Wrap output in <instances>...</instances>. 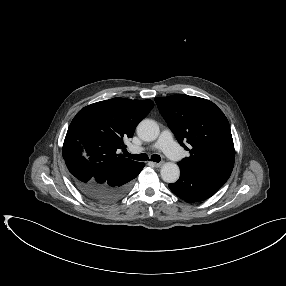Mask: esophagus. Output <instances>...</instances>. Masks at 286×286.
<instances>
[{
    "instance_id": "34e87169",
    "label": "esophagus",
    "mask_w": 286,
    "mask_h": 286,
    "mask_svg": "<svg viewBox=\"0 0 286 286\" xmlns=\"http://www.w3.org/2000/svg\"><path fill=\"white\" fill-rule=\"evenodd\" d=\"M153 164L155 167H161L163 163L162 162H159V163L153 162Z\"/></svg>"
}]
</instances>
